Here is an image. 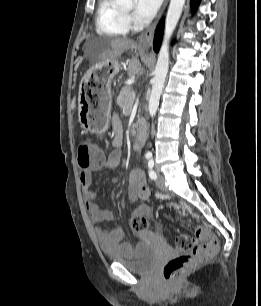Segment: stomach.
<instances>
[{
    "label": "stomach",
    "instance_id": "obj_1",
    "mask_svg": "<svg viewBox=\"0 0 261 306\" xmlns=\"http://www.w3.org/2000/svg\"><path fill=\"white\" fill-rule=\"evenodd\" d=\"M118 61L112 59L100 63L104 69L95 83L88 85L83 81L78 96V116L82 128L91 133L105 132L110 123L112 95L108 77L118 69Z\"/></svg>",
    "mask_w": 261,
    "mask_h": 306
}]
</instances>
